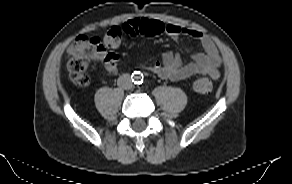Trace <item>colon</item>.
<instances>
[{
	"instance_id": "colon-1",
	"label": "colon",
	"mask_w": 292,
	"mask_h": 184,
	"mask_svg": "<svg viewBox=\"0 0 292 184\" xmlns=\"http://www.w3.org/2000/svg\"><path fill=\"white\" fill-rule=\"evenodd\" d=\"M142 35L147 37L163 33V26L157 20L147 19L141 28ZM120 27L110 28L102 39L96 36L80 35L76 37L68 49L67 70L74 84L85 87L90 83L87 65L98 53L117 48L122 39ZM194 89L202 94L210 93L213 83L208 78H200L194 82Z\"/></svg>"
}]
</instances>
